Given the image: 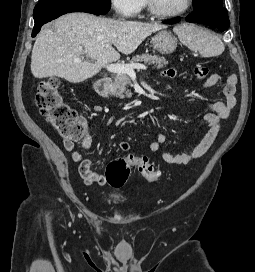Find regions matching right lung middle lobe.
I'll list each match as a JSON object with an SVG mask.
<instances>
[{
  "instance_id": "obj_1",
  "label": "right lung middle lobe",
  "mask_w": 255,
  "mask_h": 272,
  "mask_svg": "<svg viewBox=\"0 0 255 272\" xmlns=\"http://www.w3.org/2000/svg\"><path fill=\"white\" fill-rule=\"evenodd\" d=\"M44 2H69L83 5L85 7L91 8L101 14H106L111 8V0H39V3Z\"/></svg>"
}]
</instances>
